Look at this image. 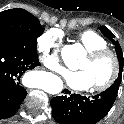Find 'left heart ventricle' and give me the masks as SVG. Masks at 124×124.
Here are the masks:
<instances>
[{
    "label": "left heart ventricle",
    "mask_w": 124,
    "mask_h": 124,
    "mask_svg": "<svg viewBox=\"0 0 124 124\" xmlns=\"http://www.w3.org/2000/svg\"><path fill=\"white\" fill-rule=\"evenodd\" d=\"M112 61L108 56L97 60H90L87 56L79 63L76 69L85 70L89 73L92 87L104 83L112 72Z\"/></svg>",
    "instance_id": "1"
}]
</instances>
